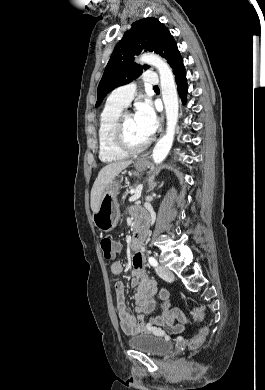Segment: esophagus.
Instances as JSON below:
<instances>
[{
    "label": "esophagus",
    "instance_id": "obj_1",
    "mask_svg": "<svg viewBox=\"0 0 265 390\" xmlns=\"http://www.w3.org/2000/svg\"><path fill=\"white\" fill-rule=\"evenodd\" d=\"M162 124L164 123V114L161 115Z\"/></svg>",
    "mask_w": 265,
    "mask_h": 390
}]
</instances>
